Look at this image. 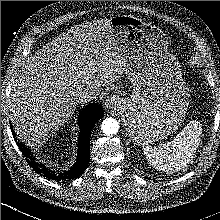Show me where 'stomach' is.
<instances>
[{"instance_id":"stomach-1","label":"stomach","mask_w":220,"mask_h":220,"mask_svg":"<svg viewBox=\"0 0 220 220\" xmlns=\"http://www.w3.org/2000/svg\"><path fill=\"white\" fill-rule=\"evenodd\" d=\"M113 33L125 58V74L133 85L123 98L126 131L137 145L161 140L182 124L189 90L180 65L167 53L161 29L132 15L111 19Z\"/></svg>"}]
</instances>
